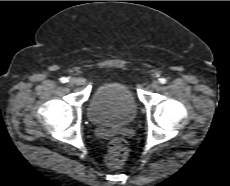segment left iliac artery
I'll return each instance as SVG.
<instances>
[{"label": "left iliac artery", "instance_id": "obj_1", "mask_svg": "<svg viewBox=\"0 0 230 186\" xmlns=\"http://www.w3.org/2000/svg\"><path fill=\"white\" fill-rule=\"evenodd\" d=\"M159 82H160L161 84H165V83L167 82V80H166L165 78H160V79H159Z\"/></svg>", "mask_w": 230, "mask_h": 186}]
</instances>
